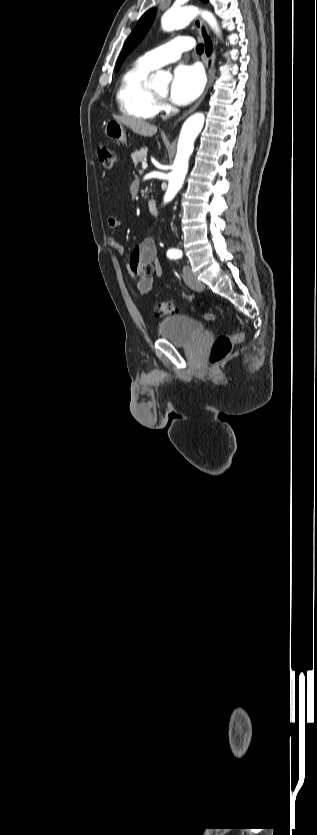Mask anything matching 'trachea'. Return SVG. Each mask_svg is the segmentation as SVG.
<instances>
[{
    "mask_svg": "<svg viewBox=\"0 0 317 835\" xmlns=\"http://www.w3.org/2000/svg\"><path fill=\"white\" fill-rule=\"evenodd\" d=\"M203 51H204V46H203V44H199V45H197V47H196V52H197L198 54H201V53H203Z\"/></svg>",
    "mask_w": 317,
    "mask_h": 835,
    "instance_id": "3493384b",
    "label": "trachea"
}]
</instances>
